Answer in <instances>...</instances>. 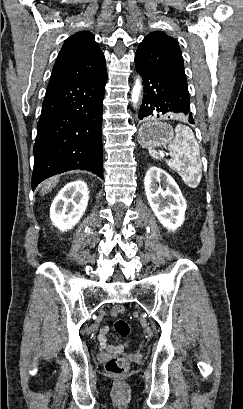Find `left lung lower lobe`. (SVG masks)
I'll list each match as a JSON object with an SVG mask.
<instances>
[{
  "mask_svg": "<svg viewBox=\"0 0 243 409\" xmlns=\"http://www.w3.org/2000/svg\"><path fill=\"white\" fill-rule=\"evenodd\" d=\"M143 76L144 96L139 110V119L166 113H182L194 124L190 113L188 86L162 74L136 67Z\"/></svg>",
  "mask_w": 243,
  "mask_h": 409,
  "instance_id": "left-lung-lower-lobe-1",
  "label": "left lung lower lobe"
}]
</instances>
